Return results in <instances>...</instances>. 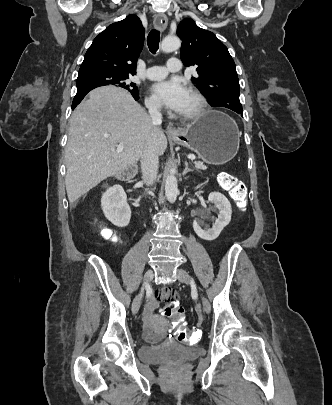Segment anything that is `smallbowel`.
Masks as SVG:
<instances>
[{
	"label": "small bowel",
	"instance_id": "obj_1",
	"mask_svg": "<svg viewBox=\"0 0 332 405\" xmlns=\"http://www.w3.org/2000/svg\"><path fill=\"white\" fill-rule=\"evenodd\" d=\"M176 290L174 288H158L155 292V297L152 298L145 310L144 319L148 327H151L154 321L153 312L158 308V300L161 297H164L162 301H168V299H175ZM166 321V320H165ZM148 344H167L168 336L167 335H148L147 336Z\"/></svg>",
	"mask_w": 332,
	"mask_h": 405
}]
</instances>
